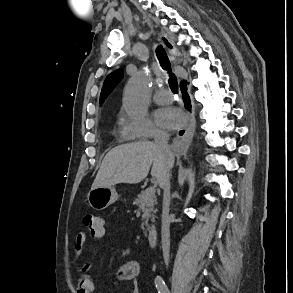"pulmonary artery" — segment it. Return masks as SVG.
<instances>
[{
  "label": "pulmonary artery",
  "instance_id": "pulmonary-artery-1",
  "mask_svg": "<svg viewBox=\"0 0 293 293\" xmlns=\"http://www.w3.org/2000/svg\"><path fill=\"white\" fill-rule=\"evenodd\" d=\"M154 101L158 104H169L173 101V94L170 90L167 89H159L154 97Z\"/></svg>",
  "mask_w": 293,
  "mask_h": 293
}]
</instances>
